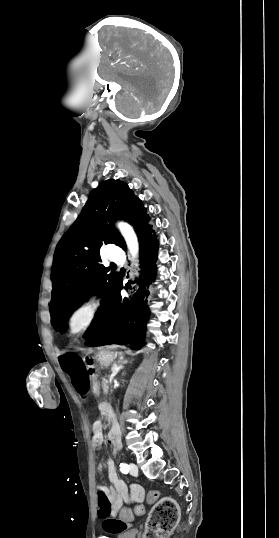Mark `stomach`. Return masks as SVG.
Returning <instances> with one entry per match:
<instances>
[{
	"label": "stomach",
	"mask_w": 279,
	"mask_h": 538,
	"mask_svg": "<svg viewBox=\"0 0 279 538\" xmlns=\"http://www.w3.org/2000/svg\"><path fill=\"white\" fill-rule=\"evenodd\" d=\"M120 358L122 356L121 352H117V354H114V352H107V353H99L98 355V362L101 364V366H110V364H114L116 358ZM93 393L95 395H98L100 393L99 387L97 385H94L92 387Z\"/></svg>",
	"instance_id": "1"
}]
</instances>
